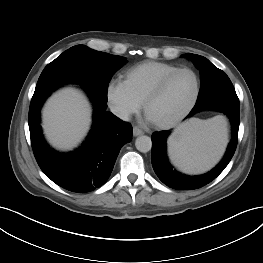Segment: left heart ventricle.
<instances>
[{
  "label": "left heart ventricle",
  "mask_w": 263,
  "mask_h": 263,
  "mask_svg": "<svg viewBox=\"0 0 263 263\" xmlns=\"http://www.w3.org/2000/svg\"><path fill=\"white\" fill-rule=\"evenodd\" d=\"M194 91L195 78L190 72L176 75L149 106L148 118L153 122H161L175 117L187 106Z\"/></svg>",
  "instance_id": "b2bd125f"
}]
</instances>
